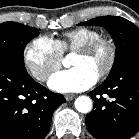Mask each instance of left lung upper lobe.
Listing matches in <instances>:
<instances>
[{
	"label": "left lung upper lobe",
	"mask_w": 139,
	"mask_h": 139,
	"mask_svg": "<svg viewBox=\"0 0 139 139\" xmlns=\"http://www.w3.org/2000/svg\"><path fill=\"white\" fill-rule=\"evenodd\" d=\"M79 25H99L107 29L111 34L116 46V55L114 65L108 77L113 75L132 58L139 57V29L125 18L102 16Z\"/></svg>",
	"instance_id": "1"
}]
</instances>
